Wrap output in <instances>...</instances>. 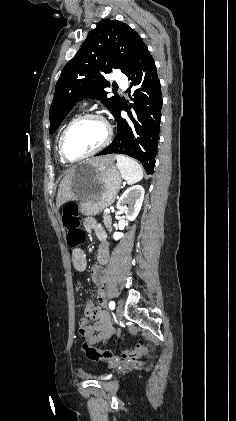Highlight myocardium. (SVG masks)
<instances>
[{
	"label": "myocardium",
	"instance_id": "obj_1",
	"mask_svg": "<svg viewBox=\"0 0 236 421\" xmlns=\"http://www.w3.org/2000/svg\"><path fill=\"white\" fill-rule=\"evenodd\" d=\"M85 120L101 121L106 127L105 139L103 140V142L98 147H96L92 151L88 152L87 154H85L83 156H80V157H70L68 155L67 151H66V138H67L69 132L71 131V129L74 126H76L77 124H79V123H81ZM112 136H113L112 127H111L110 123L108 122V120L104 116H102L100 114H85V115L79 116L67 125V127L64 129V131L61 135L60 143H59L60 156H61L62 160L66 163H74V162L83 160L85 158H88V157L102 151L105 147H107L112 140Z\"/></svg>",
	"mask_w": 236,
	"mask_h": 421
}]
</instances>
